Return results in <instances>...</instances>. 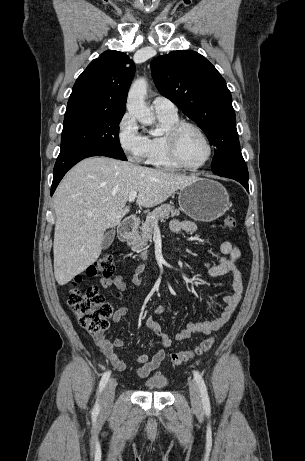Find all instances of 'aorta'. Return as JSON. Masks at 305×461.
<instances>
[{
    "label": "aorta",
    "mask_w": 305,
    "mask_h": 461,
    "mask_svg": "<svg viewBox=\"0 0 305 461\" xmlns=\"http://www.w3.org/2000/svg\"><path fill=\"white\" fill-rule=\"evenodd\" d=\"M147 81L139 78L131 85L127 99V110L142 124H152L154 115L145 103Z\"/></svg>",
    "instance_id": "1"
}]
</instances>
